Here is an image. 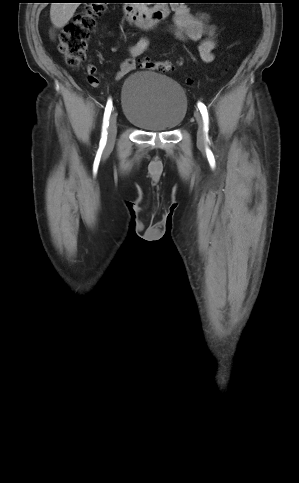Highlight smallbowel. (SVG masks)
Listing matches in <instances>:
<instances>
[{"label":"small bowel","mask_w":299,"mask_h":483,"mask_svg":"<svg viewBox=\"0 0 299 483\" xmlns=\"http://www.w3.org/2000/svg\"><path fill=\"white\" fill-rule=\"evenodd\" d=\"M173 22L169 27V32L180 41H201L199 45V54L203 62L210 63L214 60L213 51L216 47L214 39L216 27L208 22V15L205 13H192L190 9L182 3L173 7ZM53 38L55 35L53 34ZM149 45L146 37H141L135 44L129 47L130 57L121 63L116 78L121 79L129 72L135 69L136 58L142 55ZM87 72L95 81L92 85L98 83L96 68L92 65L88 66Z\"/></svg>","instance_id":"small-bowel-1"}]
</instances>
